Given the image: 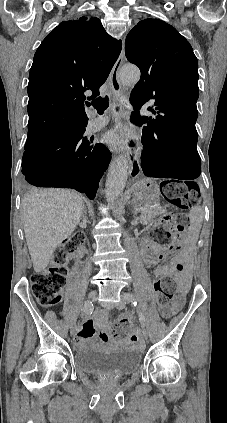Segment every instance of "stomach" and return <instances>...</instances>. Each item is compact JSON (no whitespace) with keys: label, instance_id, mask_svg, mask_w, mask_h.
<instances>
[{"label":"stomach","instance_id":"1","mask_svg":"<svg viewBox=\"0 0 227 423\" xmlns=\"http://www.w3.org/2000/svg\"><path fill=\"white\" fill-rule=\"evenodd\" d=\"M132 192L134 198L137 202L141 204H147V206H152V204H157L160 200V190L153 180H139L136 184L132 186Z\"/></svg>","mask_w":227,"mask_h":423}]
</instances>
